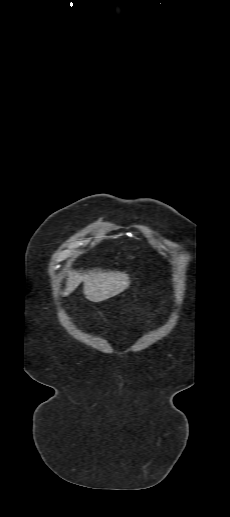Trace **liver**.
<instances>
[{"label":"liver","instance_id":"obj_1","mask_svg":"<svg viewBox=\"0 0 230 517\" xmlns=\"http://www.w3.org/2000/svg\"><path fill=\"white\" fill-rule=\"evenodd\" d=\"M83 282L85 298L91 302H101L114 297L130 285L128 274L119 271L93 269L85 272L68 271L64 296L72 293Z\"/></svg>","mask_w":230,"mask_h":517}]
</instances>
